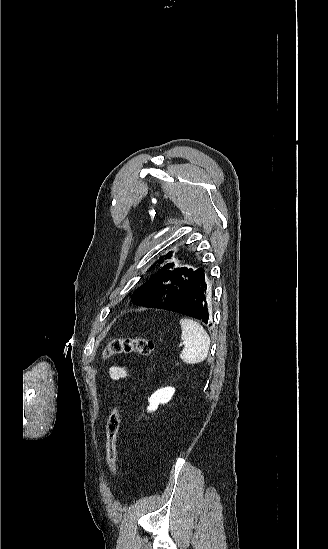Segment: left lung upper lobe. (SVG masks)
<instances>
[{"mask_svg":"<svg viewBox=\"0 0 328 549\" xmlns=\"http://www.w3.org/2000/svg\"><path fill=\"white\" fill-rule=\"evenodd\" d=\"M171 257H173L172 251L162 256L158 262L163 263L164 258L166 260ZM192 271L188 267L179 266L174 268L173 263H166L144 285L134 291L132 299L135 303L146 307L158 301L169 299L177 289V285L181 279L185 278Z\"/></svg>","mask_w":328,"mask_h":549,"instance_id":"obj_1","label":"left lung upper lobe"}]
</instances>
